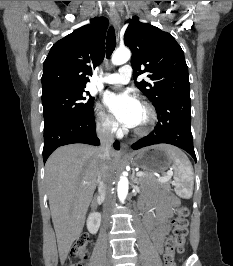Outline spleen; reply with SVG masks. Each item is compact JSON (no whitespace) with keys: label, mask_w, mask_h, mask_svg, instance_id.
Masks as SVG:
<instances>
[{"label":"spleen","mask_w":233,"mask_h":266,"mask_svg":"<svg viewBox=\"0 0 233 266\" xmlns=\"http://www.w3.org/2000/svg\"><path fill=\"white\" fill-rule=\"evenodd\" d=\"M173 157L175 192L183 198H190L193 194L194 176L193 167L188 157L179 149L163 145Z\"/></svg>","instance_id":"3e777b00"}]
</instances>
